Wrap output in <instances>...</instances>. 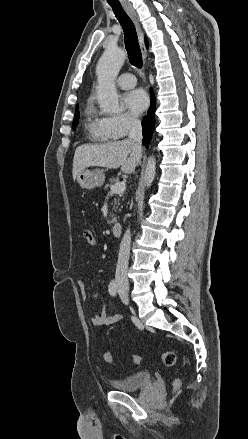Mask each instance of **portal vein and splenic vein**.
I'll return each instance as SVG.
<instances>
[{
	"instance_id": "portal-vein-and-splenic-vein-1",
	"label": "portal vein and splenic vein",
	"mask_w": 248,
	"mask_h": 439,
	"mask_svg": "<svg viewBox=\"0 0 248 439\" xmlns=\"http://www.w3.org/2000/svg\"><path fill=\"white\" fill-rule=\"evenodd\" d=\"M126 190V184L124 181L117 182L111 186L110 192L115 194H122Z\"/></svg>"
}]
</instances>
